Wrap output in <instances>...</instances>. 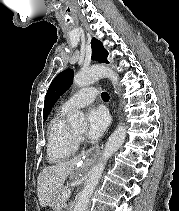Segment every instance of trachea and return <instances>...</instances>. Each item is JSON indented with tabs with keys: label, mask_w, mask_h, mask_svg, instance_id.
<instances>
[{
	"label": "trachea",
	"mask_w": 179,
	"mask_h": 211,
	"mask_svg": "<svg viewBox=\"0 0 179 211\" xmlns=\"http://www.w3.org/2000/svg\"><path fill=\"white\" fill-rule=\"evenodd\" d=\"M101 96H102V99H103V100H105V101H108V100H109V94H108V93L103 92V93L101 94Z\"/></svg>",
	"instance_id": "obj_1"
}]
</instances>
